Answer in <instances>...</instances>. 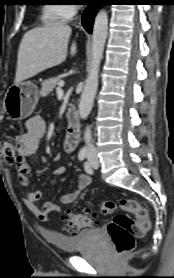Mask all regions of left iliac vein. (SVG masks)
I'll use <instances>...</instances> for the list:
<instances>
[{
  "mask_svg": "<svg viewBox=\"0 0 174 278\" xmlns=\"http://www.w3.org/2000/svg\"><path fill=\"white\" fill-rule=\"evenodd\" d=\"M89 162L93 168L97 169L99 167V160L95 154L89 157Z\"/></svg>",
  "mask_w": 174,
  "mask_h": 278,
  "instance_id": "obj_1",
  "label": "left iliac vein"
}]
</instances>
